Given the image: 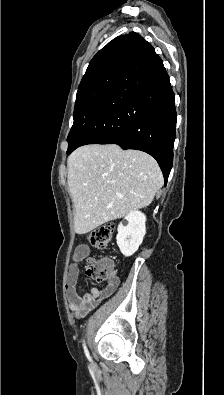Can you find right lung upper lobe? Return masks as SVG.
<instances>
[{
	"label": "right lung upper lobe",
	"instance_id": "1",
	"mask_svg": "<svg viewBox=\"0 0 224 395\" xmlns=\"http://www.w3.org/2000/svg\"><path fill=\"white\" fill-rule=\"evenodd\" d=\"M144 39L135 32L120 35L110 41L90 61L79 86L104 74L122 71L133 58Z\"/></svg>",
	"mask_w": 224,
	"mask_h": 395
}]
</instances>
